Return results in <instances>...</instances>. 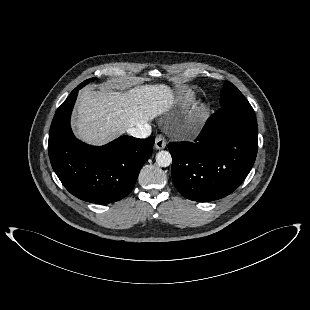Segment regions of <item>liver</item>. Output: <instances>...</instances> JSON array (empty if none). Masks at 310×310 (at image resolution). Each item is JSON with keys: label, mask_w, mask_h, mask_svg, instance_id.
I'll return each mask as SVG.
<instances>
[{"label": "liver", "mask_w": 310, "mask_h": 310, "mask_svg": "<svg viewBox=\"0 0 310 310\" xmlns=\"http://www.w3.org/2000/svg\"><path fill=\"white\" fill-rule=\"evenodd\" d=\"M176 102L173 89L166 84H147L124 92L87 88L78 97L75 134L88 144L102 145L128 128L143 126L168 112Z\"/></svg>", "instance_id": "6515ba94"}]
</instances>
